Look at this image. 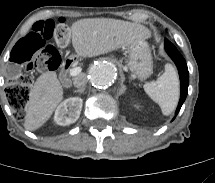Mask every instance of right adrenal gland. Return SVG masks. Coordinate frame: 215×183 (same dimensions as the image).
Returning a JSON list of instances; mask_svg holds the SVG:
<instances>
[{"label": "right adrenal gland", "instance_id": "2a0ac1e0", "mask_svg": "<svg viewBox=\"0 0 215 183\" xmlns=\"http://www.w3.org/2000/svg\"><path fill=\"white\" fill-rule=\"evenodd\" d=\"M85 90V88H80V89H77V90H74L75 93H83Z\"/></svg>", "mask_w": 215, "mask_h": 183}]
</instances>
